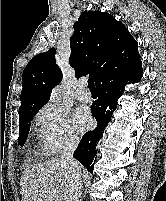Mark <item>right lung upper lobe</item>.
Instances as JSON below:
<instances>
[{
	"mask_svg": "<svg viewBox=\"0 0 166 201\" xmlns=\"http://www.w3.org/2000/svg\"><path fill=\"white\" fill-rule=\"evenodd\" d=\"M73 27L69 63L77 77L89 74L97 85L107 72L140 58L137 42L128 29L108 13L85 11ZM61 80L54 49L34 56L23 71L19 117L38 111Z\"/></svg>",
	"mask_w": 166,
	"mask_h": 201,
	"instance_id": "right-lung-upper-lobe-1",
	"label": "right lung upper lobe"
}]
</instances>
